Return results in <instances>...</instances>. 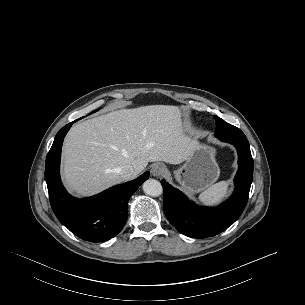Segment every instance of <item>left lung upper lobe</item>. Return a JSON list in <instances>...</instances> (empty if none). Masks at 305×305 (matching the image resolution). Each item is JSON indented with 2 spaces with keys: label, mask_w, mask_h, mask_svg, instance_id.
<instances>
[{
  "label": "left lung upper lobe",
  "mask_w": 305,
  "mask_h": 305,
  "mask_svg": "<svg viewBox=\"0 0 305 305\" xmlns=\"http://www.w3.org/2000/svg\"><path fill=\"white\" fill-rule=\"evenodd\" d=\"M215 117L216 131L215 136L220 140H235L247 143V138L244 133L237 127L225 122L218 116Z\"/></svg>",
  "instance_id": "left-lung-upper-lobe-1"
}]
</instances>
